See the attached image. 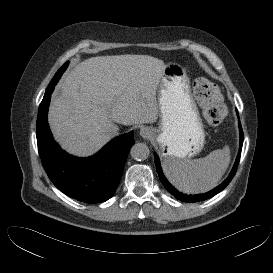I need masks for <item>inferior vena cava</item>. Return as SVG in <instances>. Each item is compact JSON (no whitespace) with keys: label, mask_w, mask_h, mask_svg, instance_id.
Segmentation results:
<instances>
[{"label":"inferior vena cava","mask_w":273,"mask_h":273,"mask_svg":"<svg viewBox=\"0 0 273 273\" xmlns=\"http://www.w3.org/2000/svg\"><path fill=\"white\" fill-rule=\"evenodd\" d=\"M118 135V128L117 127H113L111 130H110V136L111 137H114Z\"/></svg>","instance_id":"inferior-vena-cava-1"}]
</instances>
